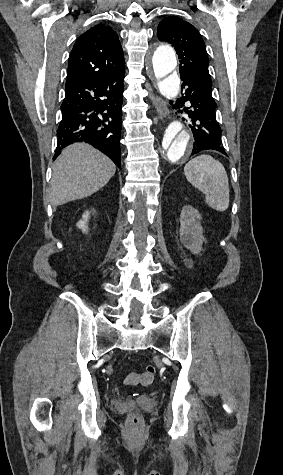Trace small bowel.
<instances>
[{"label": "small bowel", "mask_w": 283, "mask_h": 475, "mask_svg": "<svg viewBox=\"0 0 283 475\" xmlns=\"http://www.w3.org/2000/svg\"><path fill=\"white\" fill-rule=\"evenodd\" d=\"M126 378L128 380H138V379H142L143 378V373L142 372H138V371H128L126 373ZM126 383H128L126 380H125ZM135 383H140V384H144V383H141L139 381L135 382ZM130 384V383H128ZM150 384V383H149Z\"/></svg>", "instance_id": "c3829d8e"}]
</instances>
